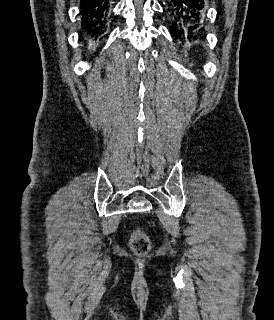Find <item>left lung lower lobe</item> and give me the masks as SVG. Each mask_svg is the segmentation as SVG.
Returning <instances> with one entry per match:
<instances>
[{
  "label": "left lung lower lobe",
  "instance_id": "left-lung-lower-lobe-1",
  "mask_svg": "<svg viewBox=\"0 0 274 320\" xmlns=\"http://www.w3.org/2000/svg\"><path fill=\"white\" fill-rule=\"evenodd\" d=\"M166 7L176 22L190 23L193 28L199 27L204 17V0H167Z\"/></svg>",
  "mask_w": 274,
  "mask_h": 320
}]
</instances>
